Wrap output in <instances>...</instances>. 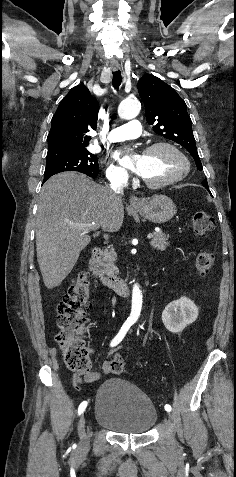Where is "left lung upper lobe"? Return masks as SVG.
<instances>
[{
    "label": "left lung upper lobe",
    "instance_id": "left-lung-upper-lobe-1",
    "mask_svg": "<svg viewBox=\"0 0 236 477\" xmlns=\"http://www.w3.org/2000/svg\"><path fill=\"white\" fill-rule=\"evenodd\" d=\"M138 91L145 105L146 119L153 130L188 150L194 158L198 170H202L192 122L186 104L177 92L158 77L145 74L138 82ZM202 185L208 188L207 180Z\"/></svg>",
    "mask_w": 236,
    "mask_h": 477
}]
</instances>
